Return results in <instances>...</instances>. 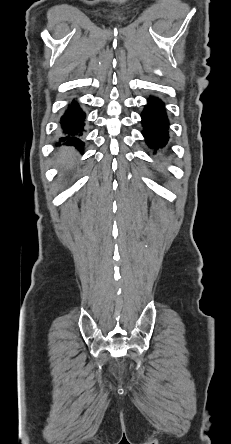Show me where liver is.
Returning <instances> with one entry per match:
<instances>
[{"mask_svg": "<svg viewBox=\"0 0 231 444\" xmlns=\"http://www.w3.org/2000/svg\"><path fill=\"white\" fill-rule=\"evenodd\" d=\"M55 158L57 166L64 170H68L75 164L76 151L73 148L62 147Z\"/></svg>", "mask_w": 231, "mask_h": 444, "instance_id": "liver-1", "label": "liver"}]
</instances>
